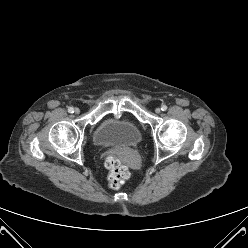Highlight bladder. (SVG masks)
I'll return each instance as SVG.
<instances>
[{
  "mask_svg": "<svg viewBox=\"0 0 248 248\" xmlns=\"http://www.w3.org/2000/svg\"><path fill=\"white\" fill-rule=\"evenodd\" d=\"M140 129L127 119L109 118L95 130L93 140L98 146H134L140 143Z\"/></svg>",
  "mask_w": 248,
  "mask_h": 248,
  "instance_id": "1",
  "label": "bladder"
}]
</instances>
